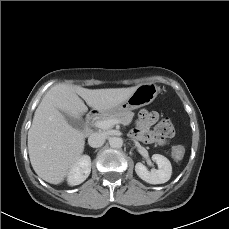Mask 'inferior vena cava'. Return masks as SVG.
I'll list each match as a JSON object with an SVG mask.
<instances>
[{
	"label": "inferior vena cava",
	"instance_id": "602c4592",
	"mask_svg": "<svg viewBox=\"0 0 229 229\" xmlns=\"http://www.w3.org/2000/svg\"><path fill=\"white\" fill-rule=\"evenodd\" d=\"M105 142V136L102 133H92L88 138V144L93 147H101Z\"/></svg>",
	"mask_w": 229,
	"mask_h": 229
}]
</instances>
